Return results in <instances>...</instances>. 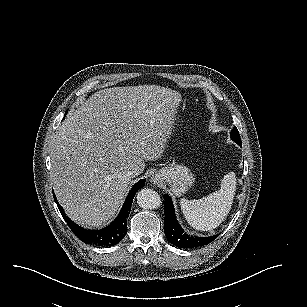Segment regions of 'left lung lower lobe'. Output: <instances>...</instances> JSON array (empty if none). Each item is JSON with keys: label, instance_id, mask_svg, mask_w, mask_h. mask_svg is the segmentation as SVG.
Here are the masks:
<instances>
[{"label": "left lung lower lobe", "instance_id": "obj_1", "mask_svg": "<svg viewBox=\"0 0 307 307\" xmlns=\"http://www.w3.org/2000/svg\"><path fill=\"white\" fill-rule=\"evenodd\" d=\"M164 232L168 239V241L176 247L180 248H194V247H201L204 245L209 244L214 239H216L219 234L213 235L211 237H193L189 236L182 230L181 226L179 225L171 198L164 194Z\"/></svg>", "mask_w": 307, "mask_h": 307}]
</instances>
